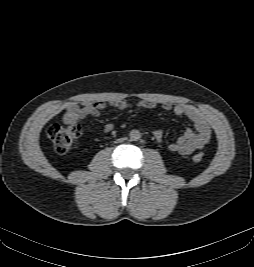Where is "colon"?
I'll return each instance as SVG.
<instances>
[{
  "label": "colon",
  "instance_id": "5ec220e1",
  "mask_svg": "<svg viewBox=\"0 0 254 267\" xmlns=\"http://www.w3.org/2000/svg\"><path fill=\"white\" fill-rule=\"evenodd\" d=\"M48 137L53 143L54 149L60 154L70 150L72 145L81 137L82 130L79 125H51L47 130ZM203 153H196L192 160L199 163L203 160Z\"/></svg>",
  "mask_w": 254,
  "mask_h": 267
}]
</instances>
